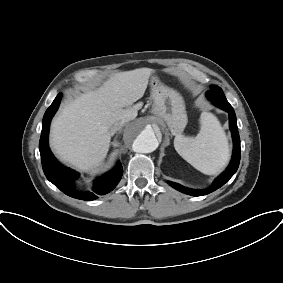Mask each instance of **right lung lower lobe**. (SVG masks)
<instances>
[{"mask_svg":"<svg viewBox=\"0 0 283 283\" xmlns=\"http://www.w3.org/2000/svg\"><path fill=\"white\" fill-rule=\"evenodd\" d=\"M61 97L62 95L59 93L51 106L46 110L43 117L42 132L39 141L43 171L47 179L66 195L86 201L94 200L97 198L96 194H106L116 187L122 177L123 170L121 165L118 164L114 170L98 178L94 187L96 194L92 192L76 191L73 179L76 178L78 174L61 165L55 159L48 146L50 122L59 107Z\"/></svg>","mask_w":283,"mask_h":283,"instance_id":"obj_1","label":"right lung lower lobe"}]
</instances>
